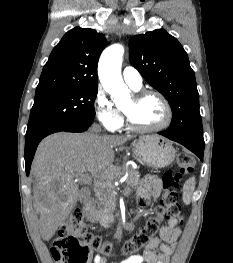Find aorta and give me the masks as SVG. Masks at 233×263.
I'll use <instances>...</instances> for the list:
<instances>
[{
	"label": "aorta",
	"instance_id": "762f6f07",
	"mask_svg": "<svg viewBox=\"0 0 233 263\" xmlns=\"http://www.w3.org/2000/svg\"><path fill=\"white\" fill-rule=\"evenodd\" d=\"M123 54V46L113 44L102 53L98 66L100 82L117 104L130 99L129 89L121 76Z\"/></svg>",
	"mask_w": 233,
	"mask_h": 263
}]
</instances>
